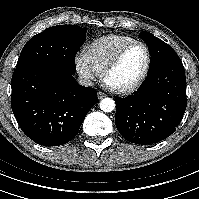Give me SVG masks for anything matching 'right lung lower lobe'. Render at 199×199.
<instances>
[{
  "label": "right lung lower lobe",
  "mask_w": 199,
  "mask_h": 199,
  "mask_svg": "<svg viewBox=\"0 0 199 199\" xmlns=\"http://www.w3.org/2000/svg\"><path fill=\"white\" fill-rule=\"evenodd\" d=\"M11 82V107L20 128L44 146L69 142L98 102L94 88L79 85L73 73L56 66L24 71Z\"/></svg>",
  "instance_id": "obj_1"
}]
</instances>
